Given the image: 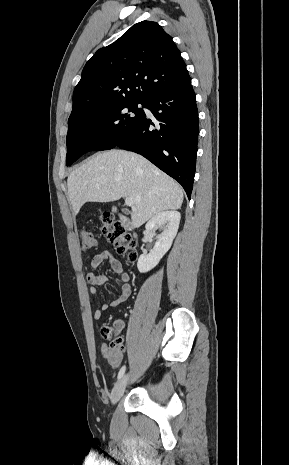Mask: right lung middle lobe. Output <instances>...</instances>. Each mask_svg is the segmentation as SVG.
I'll return each instance as SVG.
<instances>
[{"label":"right lung middle lobe","instance_id":"1","mask_svg":"<svg viewBox=\"0 0 289 465\" xmlns=\"http://www.w3.org/2000/svg\"><path fill=\"white\" fill-rule=\"evenodd\" d=\"M145 100L124 99L91 103L82 108L78 122L68 129L67 165L88 151L108 150L142 120Z\"/></svg>","mask_w":289,"mask_h":465}]
</instances>
